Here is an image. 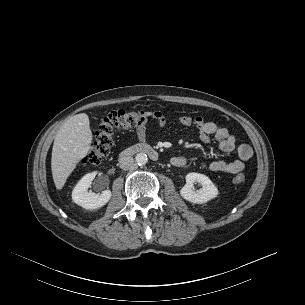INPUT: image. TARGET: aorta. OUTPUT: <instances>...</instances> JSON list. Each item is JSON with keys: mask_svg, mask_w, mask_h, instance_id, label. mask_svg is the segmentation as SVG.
Wrapping results in <instances>:
<instances>
[{"mask_svg": "<svg viewBox=\"0 0 305 305\" xmlns=\"http://www.w3.org/2000/svg\"><path fill=\"white\" fill-rule=\"evenodd\" d=\"M135 161L139 166L145 165L148 161L147 155L145 153H138L135 156Z\"/></svg>", "mask_w": 305, "mask_h": 305, "instance_id": "aorta-1", "label": "aorta"}]
</instances>
